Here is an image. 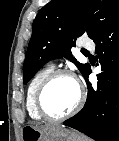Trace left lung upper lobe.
<instances>
[{
    "label": "left lung upper lobe",
    "instance_id": "left-lung-upper-lobe-1",
    "mask_svg": "<svg viewBox=\"0 0 119 141\" xmlns=\"http://www.w3.org/2000/svg\"><path fill=\"white\" fill-rule=\"evenodd\" d=\"M119 9V0H52L37 14L23 66L26 84L48 61L65 57L84 76L89 64L71 59V47L77 37L90 38Z\"/></svg>",
    "mask_w": 119,
    "mask_h": 141
}]
</instances>
